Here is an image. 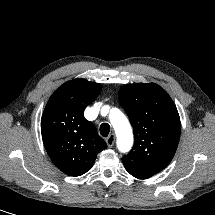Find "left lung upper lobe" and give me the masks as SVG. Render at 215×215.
Segmentation results:
<instances>
[{
  "label": "left lung upper lobe",
  "instance_id": "left-lung-upper-lobe-1",
  "mask_svg": "<svg viewBox=\"0 0 215 215\" xmlns=\"http://www.w3.org/2000/svg\"><path fill=\"white\" fill-rule=\"evenodd\" d=\"M118 98L135 138L132 150L122 161L132 176L147 179L166 168L175 154L181 131L177 108L155 83L125 85Z\"/></svg>",
  "mask_w": 215,
  "mask_h": 215
}]
</instances>
